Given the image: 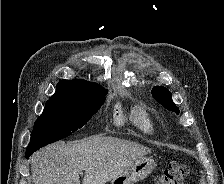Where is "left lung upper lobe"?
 <instances>
[{"instance_id":"1","label":"left lung upper lobe","mask_w":224,"mask_h":184,"mask_svg":"<svg viewBox=\"0 0 224 184\" xmlns=\"http://www.w3.org/2000/svg\"><path fill=\"white\" fill-rule=\"evenodd\" d=\"M152 96L160 103L164 108L179 114V108L173 103L171 92L164 87H154L152 89Z\"/></svg>"}]
</instances>
